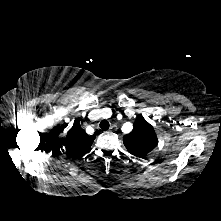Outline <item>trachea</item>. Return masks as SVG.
<instances>
[{"label": "trachea", "mask_w": 221, "mask_h": 221, "mask_svg": "<svg viewBox=\"0 0 221 221\" xmlns=\"http://www.w3.org/2000/svg\"><path fill=\"white\" fill-rule=\"evenodd\" d=\"M109 127H110V125H109V122H108L107 120H102V121L100 122V128H101L102 130H108Z\"/></svg>", "instance_id": "trachea-1"}]
</instances>
